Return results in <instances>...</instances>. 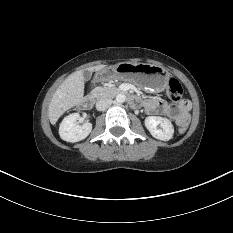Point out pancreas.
Returning a JSON list of instances; mask_svg holds the SVG:
<instances>
[{
  "label": "pancreas",
  "mask_w": 233,
  "mask_h": 233,
  "mask_svg": "<svg viewBox=\"0 0 233 233\" xmlns=\"http://www.w3.org/2000/svg\"><path fill=\"white\" fill-rule=\"evenodd\" d=\"M119 88L117 87H97L91 91V95L97 99L105 97H113L119 93Z\"/></svg>",
  "instance_id": "pancreas-1"
}]
</instances>
